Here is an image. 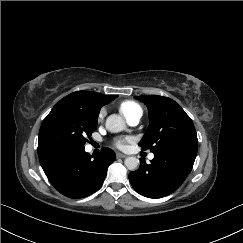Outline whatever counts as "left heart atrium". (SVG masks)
Masks as SVG:
<instances>
[{
    "instance_id": "obj_1",
    "label": "left heart atrium",
    "mask_w": 243,
    "mask_h": 243,
    "mask_svg": "<svg viewBox=\"0 0 243 243\" xmlns=\"http://www.w3.org/2000/svg\"><path fill=\"white\" fill-rule=\"evenodd\" d=\"M127 140L125 139H119L115 142V146L119 149H125Z\"/></svg>"
}]
</instances>
